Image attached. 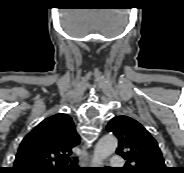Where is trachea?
Here are the masks:
<instances>
[{
	"instance_id": "trachea-1",
	"label": "trachea",
	"mask_w": 184,
	"mask_h": 173,
	"mask_svg": "<svg viewBox=\"0 0 184 173\" xmlns=\"http://www.w3.org/2000/svg\"><path fill=\"white\" fill-rule=\"evenodd\" d=\"M71 167L76 168L77 165L75 163H71Z\"/></svg>"
}]
</instances>
